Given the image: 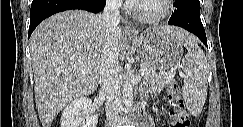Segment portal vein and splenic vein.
<instances>
[{"label": "portal vein and splenic vein", "instance_id": "portal-vein-and-splenic-vein-1", "mask_svg": "<svg viewBox=\"0 0 243 127\" xmlns=\"http://www.w3.org/2000/svg\"><path fill=\"white\" fill-rule=\"evenodd\" d=\"M82 73L85 74V73H87V71L86 70H83ZM145 73H146V70L144 68H141L140 74L141 75H144Z\"/></svg>", "mask_w": 243, "mask_h": 127}]
</instances>
